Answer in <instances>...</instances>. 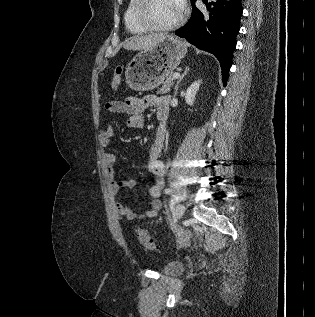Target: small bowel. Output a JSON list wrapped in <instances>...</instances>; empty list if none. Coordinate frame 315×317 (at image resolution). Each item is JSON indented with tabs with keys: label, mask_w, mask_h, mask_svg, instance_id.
Returning a JSON list of instances; mask_svg holds the SVG:
<instances>
[{
	"label": "small bowel",
	"mask_w": 315,
	"mask_h": 317,
	"mask_svg": "<svg viewBox=\"0 0 315 317\" xmlns=\"http://www.w3.org/2000/svg\"><path fill=\"white\" fill-rule=\"evenodd\" d=\"M169 97L168 96H155L147 95L142 98L128 97L124 101H112L105 105V109L113 114H126L128 115V126L132 129H141L144 126L143 112L150 107L156 110V116L160 124L156 130L155 140L149 152L146 167L154 175V180L149 186V194L151 201L149 208L143 212H136L120 202L115 205L116 212L126 218L127 220H141L145 218L155 217L161 208V201L159 196L164 187L165 164L160 160L159 155L165 139V125L169 114ZM114 135V126L109 124L99 134V142L102 146H109L112 142ZM116 157L111 152L104 154V164L111 176L114 173V165ZM136 185L134 178H127L123 180H112L110 184V192L116 196L120 189H132Z\"/></svg>",
	"instance_id": "obj_1"
}]
</instances>
